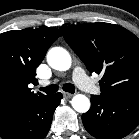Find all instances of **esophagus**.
Instances as JSON below:
<instances>
[{
	"mask_svg": "<svg viewBox=\"0 0 139 139\" xmlns=\"http://www.w3.org/2000/svg\"><path fill=\"white\" fill-rule=\"evenodd\" d=\"M63 96L66 98V99H69L73 96V94L71 93H68V92H63Z\"/></svg>",
	"mask_w": 139,
	"mask_h": 139,
	"instance_id": "1",
	"label": "esophagus"
}]
</instances>
